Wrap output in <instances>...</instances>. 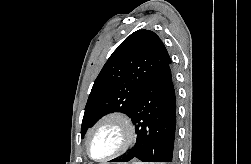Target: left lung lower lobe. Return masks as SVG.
<instances>
[{
    "label": "left lung lower lobe",
    "instance_id": "left-lung-lower-lobe-1",
    "mask_svg": "<svg viewBox=\"0 0 251 164\" xmlns=\"http://www.w3.org/2000/svg\"><path fill=\"white\" fill-rule=\"evenodd\" d=\"M137 141L122 159L142 162L175 160L176 95L170 64L163 68L142 90L130 114Z\"/></svg>",
    "mask_w": 251,
    "mask_h": 164
}]
</instances>
